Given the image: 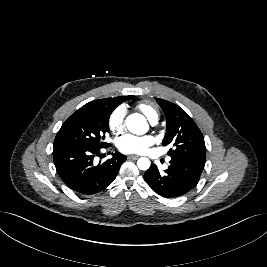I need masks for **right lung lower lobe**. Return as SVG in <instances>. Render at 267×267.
<instances>
[{"mask_svg": "<svg viewBox=\"0 0 267 267\" xmlns=\"http://www.w3.org/2000/svg\"><path fill=\"white\" fill-rule=\"evenodd\" d=\"M99 153L100 148L54 147L53 160L58 175L70 189L90 195L111 184L126 160V156L117 153L95 166L93 159Z\"/></svg>", "mask_w": 267, "mask_h": 267, "instance_id": "98d812e1", "label": "right lung lower lobe"}]
</instances>
